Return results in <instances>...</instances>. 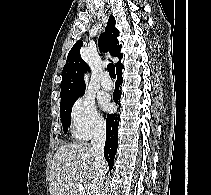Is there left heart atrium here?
Here are the masks:
<instances>
[{
  "mask_svg": "<svg viewBox=\"0 0 211 195\" xmlns=\"http://www.w3.org/2000/svg\"><path fill=\"white\" fill-rule=\"evenodd\" d=\"M102 106L104 107V109L106 110H111L112 109V104L110 103L108 98H104L102 100Z\"/></svg>",
  "mask_w": 211,
  "mask_h": 195,
  "instance_id": "1",
  "label": "left heart atrium"
}]
</instances>
